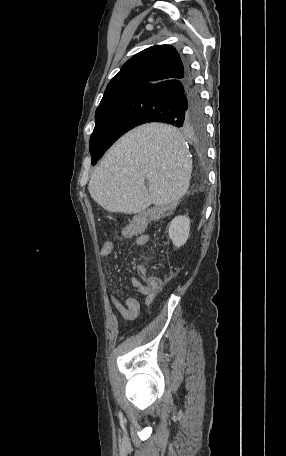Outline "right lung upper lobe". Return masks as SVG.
<instances>
[{
    "instance_id": "cb5924a9",
    "label": "right lung upper lobe",
    "mask_w": 286,
    "mask_h": 456,
    "mask_svg": "<svg viewBox=\"0 0 286 456\" xmlns=\"http://www.w3.org/2000/svg\"><path fill=\"white\" fill-rule=\"evenodd\" d=\"M179 53L170 45L149 47L129 59L107 85L99 107L184 75ZM98 107V108H99Z\"/></svg>"
}]
</instances>
